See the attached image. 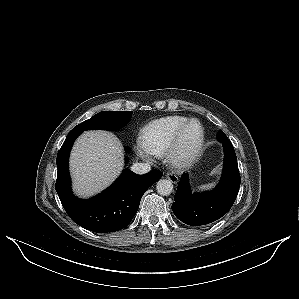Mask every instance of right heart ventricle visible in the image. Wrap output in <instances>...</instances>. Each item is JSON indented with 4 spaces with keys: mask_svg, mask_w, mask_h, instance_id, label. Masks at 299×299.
<instances>
[{
    "mask_svg": "<svg viewBox=\"0 0 299 299\" xmlns=\"http://www.w3.org/2000/svg\"><path fill=\"white\" fill-rule=\"evenodd\" d=\"M188 121L187 117L173 115L149 123L143 133L146 149L155 157L164 156L169 150L177 132Z\"/></svg>",
    "mask_w": 299,
    "mask_h": 299,
    "instance_id": "e07e8e85",
    "label": "right heart ventricle"
}]
</instances>
